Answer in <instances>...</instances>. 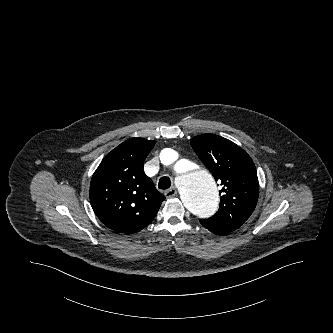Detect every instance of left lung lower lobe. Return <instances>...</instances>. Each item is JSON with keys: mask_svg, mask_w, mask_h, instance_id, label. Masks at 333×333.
Masks as SVG:
<instances>
[{"mask_svg": "<svg viewBox=\"0 0 333 333\" xmlns=\"http://www.w3.org/2000/svg\"><path fill=\"white\" fill-rule=\"evenodd\" d=\"M208 230L211 231V232H213V233H216V234H223V233H225V232L214 230L213 228H210V227H208Z\"/></svg>", "mask_w": 333, "mask_h": 333, "instance_id": "0a47b994", "label": "left lung lower lobe"}]
</instances>
